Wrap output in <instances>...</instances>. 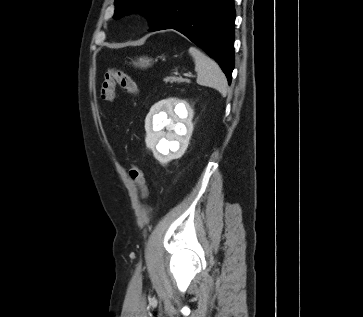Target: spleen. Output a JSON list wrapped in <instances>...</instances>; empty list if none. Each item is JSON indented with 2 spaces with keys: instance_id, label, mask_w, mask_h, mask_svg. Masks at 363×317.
<instances>
[{
  "instance_id": "3e777b00",
  "label": "spleen",
  "mask_w": 363,
  "mask_h": 317,
  "mask_svg": "<svg viewBox=\"0 0 363 317\" xmlns=\"http://www.w3.org/2000/svg\"><path fill=\"white\" fill-rule=\"evenodd\" d=\"M189 53L195 62L197 83L199 85L213 87L223 96H226L228 91L227 79L219 65L195 47H190Z\"/></svg>"
}]
</instances>
